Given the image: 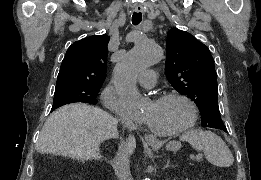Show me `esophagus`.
Here are the masks:
<instances>
[{
  "label": "esophagus",
  "mask_w": 261,
  "mask_h": 180,
  "mask_svg": "<svg viewBox=\"0 0 261 180\" xmlns=\"http://www.w3.org/2000/svg\"><path fill=\"white\" fill-rule=\"evenodd\" d=\"M134 9L137 12L143 11V8H139V7H135ZM145 139H146L147 143H149V144H156V143H158V141H157V139H156V137L154 135H146Z\"/></svg>",
  "instance_id": "esophagus-1"
}]
</instances>
